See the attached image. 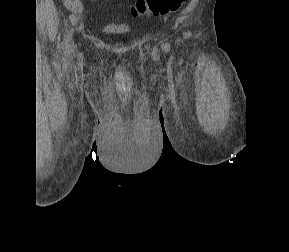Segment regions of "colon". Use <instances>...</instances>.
<instances>
[{"label": "colon", "mask_w": 289, "mask_h": 252, "mask_svg": "<svg viewBox=\"0 0 289 252\" xmlns=\"http://www.w3.org/2000/svg\"><path fill=\"white\" fill-rule=\"evenodd\" d=\"M184 0H136L131 8L134 16H162L178 11Z\"/></svg>", "instance_id": "5ec220e1"}]
</instances>
